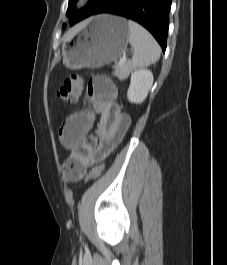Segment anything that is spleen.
<instances>
[{
    "mask_svg": "<svg viewBox=\"0 0 227 265\" xmlns=\"http://www.w3.org/2000/svg\"><path fill=\"white\" fill-rule=\"evenodd\" d=\"M129 42L134 49L132 67H148L158 61L161 48L154 37L141 25L129 20Z\"/></svg>",
    "mask_w": 227,
    "mask_h": 265,
    "instance_id": "spleen-1",
    "label": "spleen"
}]
</instances>
